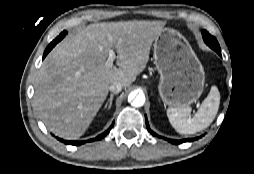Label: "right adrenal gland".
I'll list each match as a JSON object with an SVG mask.
<instances>
[{"label": "right adrenal gland", "instance_id": "1", "mask_svg": "<svg viewBox=\"0 0 254 174\" xmlns=\"http://www.w3.org/2000/svg\"><path fill=\"white\" fill-rule=\"evenodd\" d=\"M116 94H117L116 92L110 94V98H109L108 101L106 102V104H105V106H104V109H106L107 107H108V109L111 108L112 102H113V97H114V95H116Z\"/></svg>", "mask_w": 254, "mask_h": 174}]
</instances>
